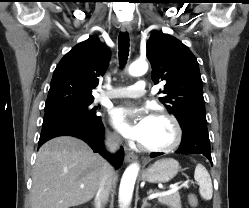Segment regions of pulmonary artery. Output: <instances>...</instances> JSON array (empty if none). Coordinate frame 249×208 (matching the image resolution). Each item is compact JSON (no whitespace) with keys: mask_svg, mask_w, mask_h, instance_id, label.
Masks as SVG:
<instances>
[{"mask_svg":"<svg viewBox=\"0 0 249 208\" xmlns=\"http://www.w3.org/2000/svg\"><path fill=\"white\" fill-rule=\"evenodd\" d=\"M147 92L146 82L140 80L131 86L117 87L109 93L101 95L100 100L107 98H139Z\"/></svg>","mask_w":249,"mask_h":208,"instance_id":"1","label":"pulmonary artery"}]
</instances>
